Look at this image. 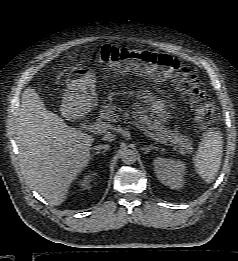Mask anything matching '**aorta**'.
<instances>
[{"instance_id": "1", "label": "aorta", "mask_w": 238, "mask_h": 261, "mask_svg": "<svg viewBox=\"0 0 238 261\" xmlns=\"http://www.w3.org/2000/svg\"><path fill=\"white\" fill-rule=\"evenodd\" d=\"M137 155L132 149H124L121 152V160L127 165L134 164L136 162Z\"/></svg>"}]
</instances>
